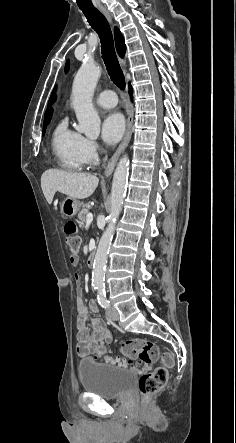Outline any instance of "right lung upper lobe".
<instances>
[{
    "label": "right lung upper lobe",
    "mask_w": 236,
    "mask_h": 443,
    "mask_svg": "<svg viewBox=\"0 0 236 443\" xmlns=\"http://www.w3.org/2000/svg\"><path fill=\"white\" fill-rule=\"evenodd\" d=\"M114 36H115V45H116L117 52H118V54L121 57H123L124 53H125V50H126V46H125V43H124L123 35H122V33L120 32V30L117 27H115V29H114ZM55 90H56V88L54 89V91H53V93H52V95L50 97V100H49V103H48V109L45 112V116H44L45 121L51 120V117H52L51 105L56 100V95L54 93Z\"/></svg>",
    "instance_id": "obj_1"
}]
</instances>
